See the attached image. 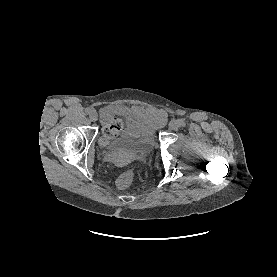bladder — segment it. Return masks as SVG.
Masks as SVG:
<instances>
[{
  "instance_id": "bladder-1",
  "label": "bladder",
  "mask_w": 277,
  "mask_h": 277,
  "mask_svg": "<svg viewBox=\"0 0 277 277\" xmlns=\"http://www.w3.org/2000/svg\"><path fill=\"white\" fill-rule=\"evenodd\" d=\"M158 123L149 116H132L107 147L115 153H150L157 142Z\"/></svg>"
}]
</instances>
